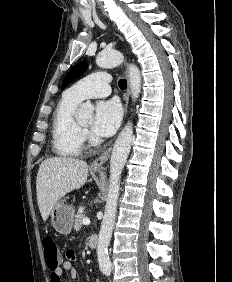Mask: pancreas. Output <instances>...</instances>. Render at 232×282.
<instances>
[{
  "instance_id": "cf45deb5",
  "label": "pancreas",
  "mask_w": 232,
  "mask_h": 282,
  "mask_svg": "<svg viewBox=\"0 0 232 282\" xmlns=\"http://www.w3.org/2000/svg\"><path fill=\"white\" fill-rule=\"evenodd\" d=\"M85 217V215L83 213H77L75 215V225H74V229L76 231H79L82 227V220Z\"/></svg>"
}]
</instances>
